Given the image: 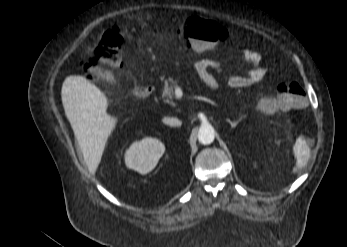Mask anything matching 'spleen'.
Returning a JSON list of instances; mask_svg holds the SVG:
<instances>
[{
    "instance_id": "obj_1",
    "label": "spleen",
    "mask_w": 347,
    "mask_h": 247,
    "mask_svg": "<svg viewBox=\"0 0 347 247\" xmlns=\"http://www.w3.org/2000/svg\"><path fill=\"white\" fill-rule=\"evenodd\" d=\"M295 155L297 157V166L302 167L310 156V149L307 142L298 138L294 147Z\"/></svg>"
}]
</instances>
